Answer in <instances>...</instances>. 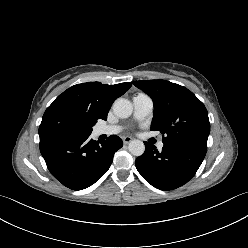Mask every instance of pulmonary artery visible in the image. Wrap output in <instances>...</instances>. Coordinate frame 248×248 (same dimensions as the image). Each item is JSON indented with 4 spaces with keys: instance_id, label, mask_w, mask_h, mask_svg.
Here are the masks:
<instances>
[{
    "instance_id": "pulmonary-artery-1",
    "label": "pulmonary artery",
    "mask_w": 248,
    "mask_h": 248,
    "mask_svg": "<svg viewBox=\"0 0 248 248\" xmlns=\"http://www.w3.org/2000/svg\"><path fill=\"white\" fill-rule=\"evenodd\" d=\"M134 117L138 120L145 119L153 110V100L145 93H138L133 97ZM122 130L118 125H105L97 129L98 134L112 135L117 134ZM164 143L161 141L157 147L162 149Z\"/></svg>"
}]
</instances>
